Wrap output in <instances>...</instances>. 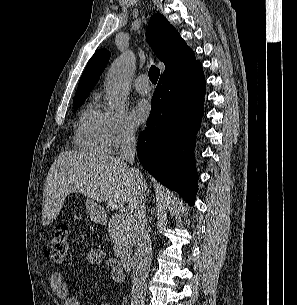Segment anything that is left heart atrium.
I'll return each mask as SVG.
<instances>
[{
    "label": "left heart atrium",
    "mask_w": 297,
    "mask_h": 305,
    "mask_svg": "<svg viewBox=\"0 0 297 305\" xmlns=\"http://www.w3.org/2000/svg\"><path fill=\"white\" fill-rule=\"evenodd\" d=\"M133 114L138 124L145 123L151 114V106L149 102L144 99L137 101Z\"/></svg>",
    "instance_id": "obj_1"
}]
</instances>
